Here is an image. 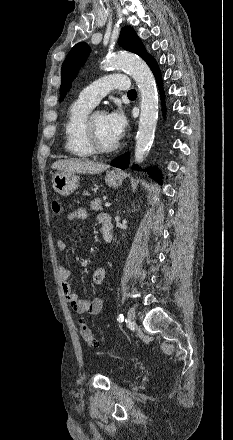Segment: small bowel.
I'll return each mask as SVG.
<instances>
[{
    "mask_svg": "<svg viewBox=\"0 0 233 440\" xmlns=\"http://www.w3.org/2000/svg\"><path fill=\"white\" fill-rule=\"evenodd\" d=\"M107 214L99 215V220H102L107 217ZM87 217V211L84 208H77L71 211L68 215V220L76 221V220H84ZM67 248V244L64 240L60 239L57 241V249L61 252H64ZM59 278L61 280L62 291L65 295V298L74 312L78 314H90L97 315L99 314L104 305V300L101 297L94 298L92 300L81 299L77 293L74 292L73 287L70 283V278L72 276L71 271L60 264L58 267ZM106 275V270L103 267H98L93 272V281L96 284H101Z\"/></svg>",
    "mask_w": 233,
    "mask_h": 440,
    "instance_id": "1",
    "label": "small bowel"
}]
</instances>
